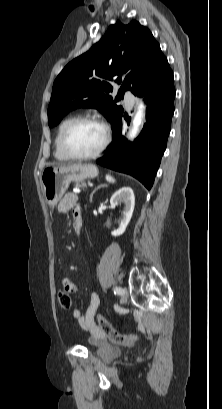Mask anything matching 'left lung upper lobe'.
Listing matches in <instances>:
<instances>
[{
    "label": "left lung upper lobe",
    "mask_w": 222,
    "mask_h": 409,
    "mask_svg": "<svg viewBox=\"0 0 222 409\" xmlns=\"http://www.w3.org/2000/svg\"><path fill=\"white\" fill-rule=\"evenodd\" d=\"M170 69L152 33L133 20L128 25L117 21L99 42L68 63L54 81L48 124L57 125L71 110L90 107L100 110L113 125L123 113L109 96L111 81L122 83L119 95L126 90L137 94L147 84Z\"/></svg>",
    "instance_id": "left-lung-upper-lobe-1"
}]
</instances>
